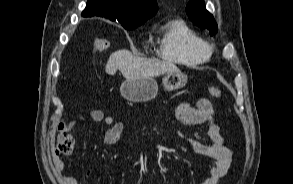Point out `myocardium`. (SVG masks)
I'll return each instance as SVG.
<instances>
[{
	"mask_svg": "<svg viewBox=\"0 0 293 184\" xmlns=\"http://www.w3.org/2000/svg\"><path fill=\"white\" fill-rule=\"evenodd\" d=\"M207 49L210 51L211 50V46L209 44L206 43Z\"/></svg>",
	"mask_w": 293,
	"mask_h": 184,
	"instance_id": "1",
	"label": "myocardium"
}]
</instances>
